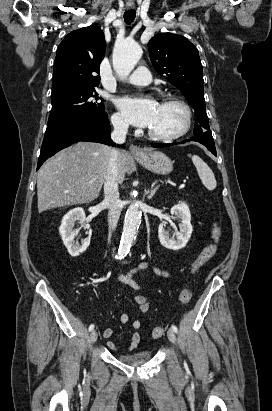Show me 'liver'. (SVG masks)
<instances>
[{
    "instance_id": "liver-1",
    "label": "liver",
    "mask_w": 272,
    "mask_h": 411,
    "mask_svg": "<svg viewBox=\"0 0 272 411\" xmlns=\"http://www.w3.org/2000/svg\"><path fill=\"white\" fill-rule=\"evenodd\" d=\"M111 149L78 142L48 160L37 176L38 212L95 200L105 181ZM127 154L119 153L118 180L124 181Z\"/></svg>"
}]
</instances>
